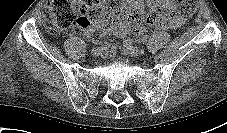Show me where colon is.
<instances>
[{"instance_id": "5ec220e1", "label": "colon", "mask_w": 227, "mask_h": 133, "mask_svg": "<svg viewBox=\"0 0 227 133\" xmlns=\"http://www.w3.org/2000/svg\"><path fill=\"white\" fill-rule=\"evenodd\" d=\"M179 14L182 17L192 16L198 7V0H176ZM107 0H49L44 13V22L48 31L53 35H61L69 28L86 30L94 22L101 20L111 11ZM132 20L162 23L165 15L158 10L151 11L146 17L140 10L131 12Z\"/></svg>"}]
</instances>
